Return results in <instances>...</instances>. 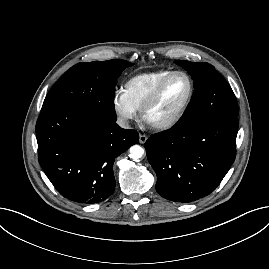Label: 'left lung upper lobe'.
Instances as JSON below:
<instances>
[{
	"label": "left lung upper lobe",
	"mask_w": 269,
	"mask_h": 269,
	"mask_svg": "<svg viewBox=\"0 0 269 269\" xmlns=\"http://www.w3.org/2000/svg\"><path fill=\"white\" fill-rule=\"evenodd\" d=\"M192 76L194 93L183 116L176 125L185 126L216 114L238 115L236 97L214 66L208 63L175 61Z\"/></svg>",
	"instance_id": "1"
}]
</instances>
